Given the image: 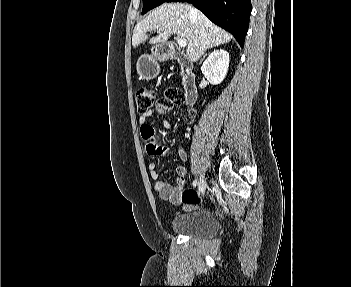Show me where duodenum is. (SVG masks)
Wrapping results in <instances>:
<instances>
[{"label": "duodenum", "instance_id": "410a0bca", "mask_svg": "<svg viewBox=\"0 0 351 287\" xmlns=\"http://www.w3.org/2000/svg\"><path fill=\"white\" fill-rule=\"evenodd\" d=\"M156 56L166 60H176L182 69V85L185 90L186 104L193 106L197 100V89L193 75V62L176 44L166 43L158 47Z\"/></svg>", "mask_w": 351, "mask_h": 287}]
</instances>
